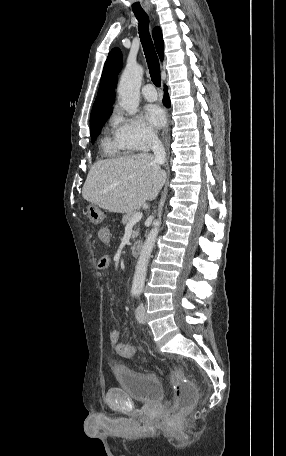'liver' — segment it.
Returning <instances> with one entry per match:
<instances>
[{
	"instance_id": "6515ba94",
	"label": "liver",
	"mask_w": 286,
	"mask_h": 456,
	"mask_svg": "<svg viewBox=\"0 0 286 456\" xmlns=\"http://www.w3.org/2000/svg\"><path fill=\"white\" fill-rule=\"evenodd\" d=\"M165 178L166 173L149 153L101 160L91 167L82 196L109 212L129 213L156 199Z\"/></svg>"
}]
</instances>
